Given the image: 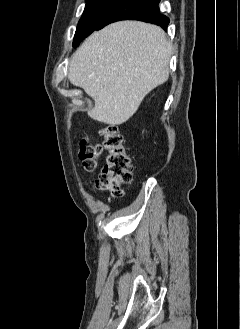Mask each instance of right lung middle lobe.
<instances>
[{
  "instance_id": "obj_1",
  "label": "right lung middle lobe",
  "mask_w": 240,
  "mask_h": 329,
  "mask_svg": "<svg viewBox=\"0 0 240 329\" xmlns=\"http://www.w3.org/2000/svg\"><path fill=\"white\" fill-rule=\"evenodd\" d=\"M120 0H86V6L81 19L79 20L73 40V47L90 35L97 24Z\"/></svg>"
}]
</instances>
